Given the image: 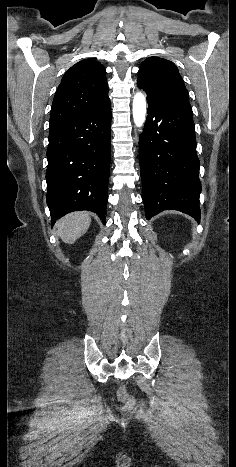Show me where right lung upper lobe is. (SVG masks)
Masks as SVG:
<instances>
[{"instance_id": "obj_1", "label": "right lung upper lobe", "mask_w": 236, "mask_h": 467, "mask_svg": "<svg viewBox=\"0 0 236 467\" xmlns=\"http://www.w3.org/2000/svg\"><path fill=\"white\" fill-rule=\"evenodd\" d=\"M105 68L84 59L63 76L54 96L50 127L78 118L109 100Z\"/></svg>"}]
</instances>
